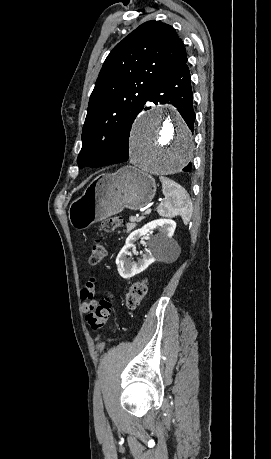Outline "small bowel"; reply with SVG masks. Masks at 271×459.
<instances>
[{"label": "small bowel", "mask_w": 271, "mask_h": 459, "mask_svg": "<svg viewBox=\"0 0 271 459\" xmlns=\"http://www.w3.org/2000/svg\"><path fill=\"white\" fill-rule=\"evenodd\" d=\"M96 291V279L94 277L89 278L80 293L81 299L83 300V310L85 313L88 312L90 302L93 300Z\"/></svg>", "instance_id": "small-bowel-1"}]
</instances>
